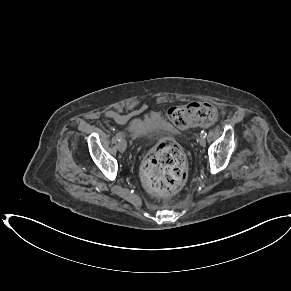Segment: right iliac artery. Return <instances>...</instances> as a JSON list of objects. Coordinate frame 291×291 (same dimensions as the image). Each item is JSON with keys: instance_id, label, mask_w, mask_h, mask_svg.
Segmentation results:
<instances>
[{"instance_id": "obj_1", "label": "right iliac artery", "mask_w": 291, "mask_h": 291, "mask_svg": "<svg viewBox=\"0 0 291 291\" xmlns=\"http://www.w3.org/2000/svg\"><path fill=\"white\" fill-rule=\"evenodd\" d=\"M116 139H117L118 141H120V140L122 139V135H121V133H117V134H116Z\"/></svg>"}]
</instances>
